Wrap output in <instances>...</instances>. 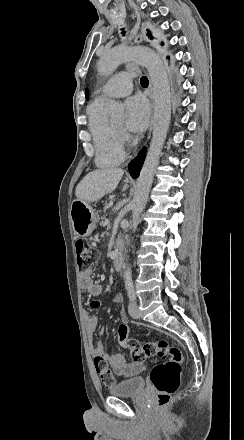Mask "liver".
Masks as SVG:
<instances>
[{
  "mask_svg": "<svg viewBox=\"0 0 244 440\" xmlns=\"http://www.w3.org/2000/svg\"><path fill=\"white\" fill-rule=\"evenodd\" d=\"M123 174L124 170H121V168H100V170L89 172L79 182L75 190V196L78 200L98 202L100 198L116 190Z\"/></svg>",
  "mask_w": 244,
  "mask_h": 440,
  "instance_id": "obj_1",
  "label": "liver"
}]
</instances>
